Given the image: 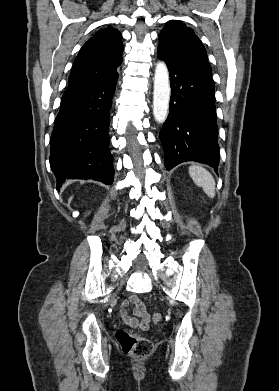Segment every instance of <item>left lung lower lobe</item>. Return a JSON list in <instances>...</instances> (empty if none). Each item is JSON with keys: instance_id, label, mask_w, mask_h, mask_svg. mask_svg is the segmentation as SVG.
<instances>
[{"instance_id": "1", "label": "left lung lower lobe", "mask_w": 279, "mask_h": 391, "mask_svg": "<svg viewBox=\"0 0 279 391\" xmlns=\"http://www.w3.org/2000/svg\"><path fill=\"white\" fill-rule=\"evenodd\" d=\"M170 75L169 115L160 131L165 153V167L196 161L219 164L218 126L214 83L200 74L168 61L160 52Z\"/></svg>"}]
</instances>
